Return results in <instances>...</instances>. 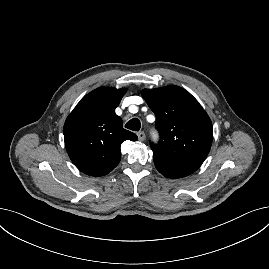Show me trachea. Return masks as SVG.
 <instances>
[{
    "instance_id": "1",
    "label": "trachea",
    "mask_w": 269,
    "mask_h": 269,
    "mask_svg": "<svg viewBox=\"0 0 269 269\" xmlns=\"http://www.w3.org/2000/svg\"><path fill=\"white\" fill-rule=\"evenodd\" d=\"M125 127L132 131H139L141 128L140 120L137 118H133L126 123Z\"/></svg>"
}]
</instances>
